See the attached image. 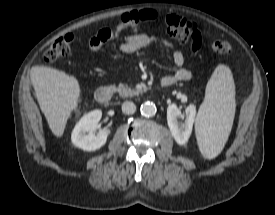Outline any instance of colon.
<instances>
[{"mask_svg": "<svg viewBox=\"0 0 275 215\" xmlns=\"http://www.w3.org/2000/svg\"><path fill=\"white\" fill-rule=\"evenodd\" d=\"M157 19L158 15L149 10L127 13L122 16V22L132 29H138ZM162 21L169 34L180 42H187L194 39L198 34L197 26L192 21L179 15L165 16ZM75 38V34H67L53 42L44 53L45 61L54 62L68 55L70 46ZM209 48L218 54H228L231 51L230 44L224 40L211 41Z\"/></svg>", "mask_w": 275, "mask_h": 215, "instance_id": "obj_1", "label": "colon"}]
</instances>
